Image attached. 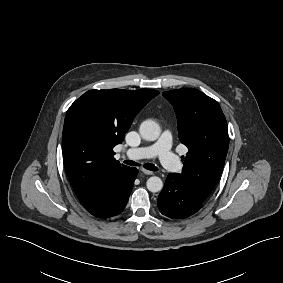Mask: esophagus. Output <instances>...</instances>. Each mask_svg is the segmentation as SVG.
<instances>
[{
    "instance_id": "esophagus-1",
    "label": "esophagus",
    "mask_w": 283,
    "mask_h": 283,
    "mask_svg": "<svg viewBox=\"0 0 283 283\" xmlns=\"http://www.w3.org/2000/svg\"><path fill=\"white\" fill-rule=\"evenodd\" d=\"M141 171H142L144 174H146V175H152V174H153L152 171L147 170V169H144V168H142Z\"/></svg>"
}]
</instances>
